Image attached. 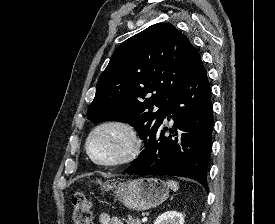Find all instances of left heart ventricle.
Instances as JSON below:
<instances>
[{
  "label": "left heart ventricle",
  "instance_id": "b2bd125f",
  "mask_svg": "<svg viewBox=\"0 0 275 224\" xmlns=\"http://www.w3.org/2000/svg\"><path fill=\"white\" fill-rule=\"evenodd\" d=\"M130 148L127 134L120 128L107 127L98 131L90 141L92 154L100 161H114L123 157Z\"/></svg>",
  "mask_w": 275,
  "mask_h": 224
}]
</instances>
